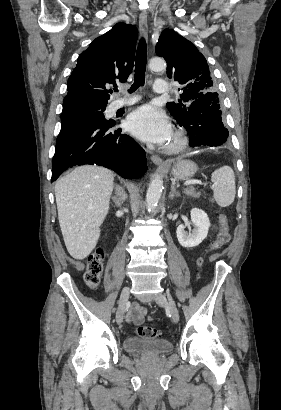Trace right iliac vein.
<instances>
[{
  "label": "right iliac vein",
  "mask_w": 281,
  "mask_h": 410,
  "mask_svg": "<svg viewBox=\"0 0 281 410\" xmlns=\"http://www.w3.org/2000/svg\"><path fill=\"white\" fill-rule=\"evenodd\" d=\"M129 296H130L129 288L128 287L123 288L121 295H120V299H119L118 310L116 313V322L119 325L123 322L125 306L129 299Z\"/></svg>",
  "instance_id": "obj_1"
}]
</instances>
